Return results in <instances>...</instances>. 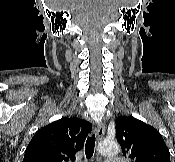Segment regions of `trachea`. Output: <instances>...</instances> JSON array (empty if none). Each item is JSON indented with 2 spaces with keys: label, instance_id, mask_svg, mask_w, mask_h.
<instances>
[{
  "label": "trachea",
  "instance_id": "3493384b",
  "mask_svg": "<svg viewBox=\"0 0 175 162\" xmlns=\"http://www.w3.org/2000/svg\"><path fill=\"white\" fill-rule=\"evenodd\" d=\"M95 142H96L95 134H93L87 138V141L85 144V155H86L87 159H90L93 156Z\"/></svg>",
  "mask_w": 175,
  "mask_h": 162
}]
</instances>
